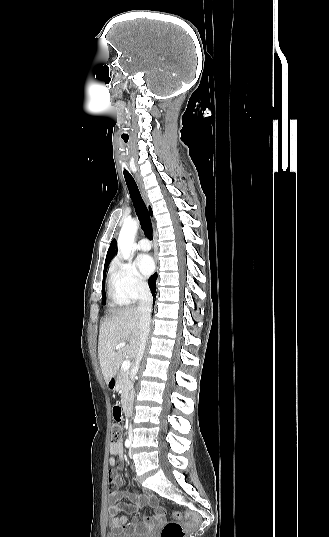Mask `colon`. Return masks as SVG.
<instances>
[{
	"mask_svg": "<svg viewBox=\"0 0 329 537\" xmlns=\"http://www.w3.org/2000/svg\"><path fill=\"white\" fill-rule=\"evenodd\" d=\"M120 408V407H119ZM122 412V411H121ZM113 413V412H112ZM122 438V427L120 424H113L111 429V441L112 443H118ZM183 518L191 519L188 522H183L181 520V513L176 511L173 513V520L167 522L161 531V537H185L186 531L190 528H193L198 523V518H200V511L185 510L182 513Z\"/></svg>",
	"mask_w": 329,
	"mask_h": 537,
	"instance_id": "5ec220e1",
	"label": "colon"
}]
</instances>
